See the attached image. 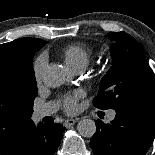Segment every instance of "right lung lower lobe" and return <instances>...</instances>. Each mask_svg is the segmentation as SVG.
<instances>
[{
	"label": "right lung lower lobe",
	"instance_id": "right-lung-lower-lobe-1",
	"mask_svg": "<svg viewBox=\"0 0 155 155\" xmlns=\"http://www.w3.org/2000/svg\"><path fill=\"white\" fill-rule=\"evenodd\" d=\"M64 130L59 123H40L36 127L32 122L2 155H54Z\"/></svg>",
	"mask_w": 155,
	"mask_h": 155
}]
</instances>
